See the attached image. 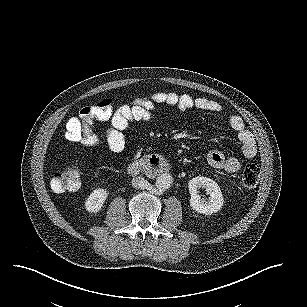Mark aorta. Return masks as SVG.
<instances>
[{
    "instance_id": "1",
    "label": "aorta",
    "mask_w": 307,
    "mask_h": 307,
    "mask_svg": "<svg viewBox=\"0 0 307 307\" xmlns=\"http://www.w3.org/2000/svg\"><path fill=\"white\" fill-rule=\"evenodd\" d=\"M172 184H173V177L170 174L166 173L157 176L155 181L156 187L163 191L169 189L172 186Z\"/></svg>"
}]
</instances>
